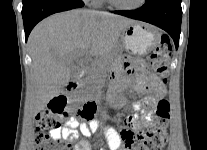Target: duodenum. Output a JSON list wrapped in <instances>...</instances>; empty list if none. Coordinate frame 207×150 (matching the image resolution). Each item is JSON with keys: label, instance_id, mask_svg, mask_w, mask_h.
I'll return each instance as SVG.
<instances>
[{"label": "duodenum", "instance_id": "obj_1", "mask_svg": "<svg viewBox=\"0 0 207 150\" xmlns=\"http://www.w3.org/2000/svg\"><path fill=\"white\" fill-rule=\"evenodd\" d=\"M79 85H80L79 80H73L68 84L67 89L68 91H74L79 87ZM92 107H94V105L92 103H89L86 105L85 108L91 109Z\"/></svg>", "mask_w": 207, "mask_h": 150}]
</instances>
